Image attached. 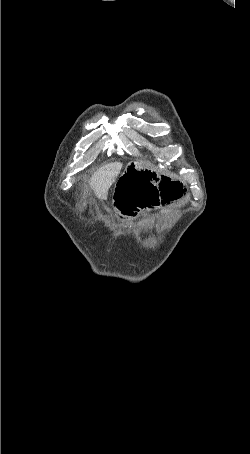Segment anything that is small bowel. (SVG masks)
I'll list each match as a JSON object with an SVG mask.
<instances>
[{"label": "small bowel", "mask_w": 250, "mask_h": 454, "mask_svg": "<svg viewBox=\"0 0 250 454\" xmlns=\"http://www.w3.org/2000/svg\"><path fill=\"white\" fill-rule=\"evenodd\" d=\"M184 194V186L169 177L148 171L132 170L123 174L114 189V206L126 217L139 211L168 206Z\"/></svg>", "instance_id": "1"}]
</instances>
